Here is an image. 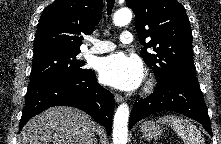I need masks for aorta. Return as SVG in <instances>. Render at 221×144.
<instances>
[{
    "instance_id": "1",
    "label": "aorta",
    "mask_w": 221,
    "mask_h": 144,
    "mask_svg": "<svg viewBox=\"0 0 221 144\" xmlns=\"http://www.w3.org/2000/svg\"><path fill=\"white\" fill-rule=\"evenodd\" d=\"M132 20V12L128 8L116 11L113 23L116 26H125ZM129 107L123 103L118 106L113 120V144H127Z\"/></svg>"
}]
</instances>
